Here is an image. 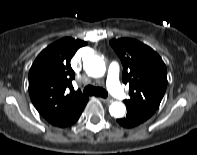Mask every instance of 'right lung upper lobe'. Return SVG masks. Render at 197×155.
I'll return each mask as SVG.
<instances>
[{"label": "right lung upper lobe", "mask_w": 197, "mask_h": 155, "mask_svg": "<svg viewBox=\"0 0 197 155\" xmlns=\"http://www.w3.org/2000/svg\"><path fill=\"white\" fill-rule=\"evenodd\" d=\"M86 44L68 37L58 40L45 48L30 68V98L52 125L66 127L88 102V96L73 90L75 73L70 65L75 52Z\"/></svg>", "instance_id": "right-lung-upper-lobe-1"}]
</instances>
